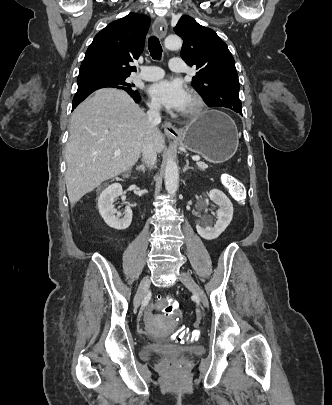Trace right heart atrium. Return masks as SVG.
<instances>
[{
	"label": "right heart atrium",
	"mask_w": 332,
	"mask_h": 405,
	"mask_svg": "<svg viewBox=\"0 0 332 405\" xmlns=\"http://www.w3.org/2000/svg\"><path fill=\"white\" fill-rule=\"evenodd\" d=\"M149 105L152 109H157L158 108V104L155 101H150Z\"/></svg>",
	"instance_id": "right-heart-atrium-1"
}]
</instances>
